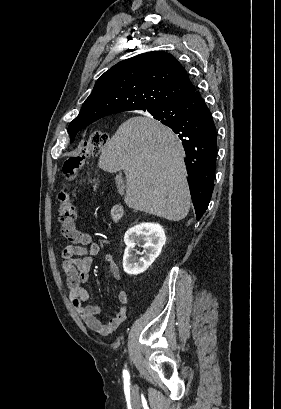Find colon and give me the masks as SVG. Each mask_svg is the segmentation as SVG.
I'll list each match as a JSON object with an SVG mask.
<instances>
[{
	"label": "colon",
	"instance_id": "5ec220e1",
	"mask_svg": "<svg viewBox=\"0 0 281 409\" xmlns=\"http://www.w3.org/2000/svg\"><path fill=\"white\" fill-rule=\"evenodd\" d=\"M108 142V134L103 129H94L88 142L84 145L83 153L69 157L63 164L62 174L65 179L72 181L77 173L83 168L86 159L90 155H99ZM57 219L61 224L62 231L70 232L71 225L76 219V201L74 194L68 187H63L57 194Z\"/></svg>",
	"mask_w": 281,
	"mask_h": 409
}]
</instances>
